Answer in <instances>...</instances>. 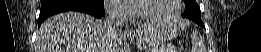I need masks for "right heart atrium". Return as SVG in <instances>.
Returning a JSON list of instances; mask_svg holds the SVG:
<instances>
[{"label":"right heart atrium","instance_id":"obj_1","mask_svg":"<svg viewBox=\"0 0 261 52\" xmlns=\"http://www.w3.org/2000/svg\"><path fill=\"white\" fill-rule=\"evenodd\" d=\"M124 3L123 0H108L105 2V7L113 18H128L130 11Z\"/></svg>","mask_w":261,"mask_h":52}]
</instances>
